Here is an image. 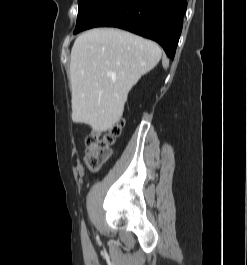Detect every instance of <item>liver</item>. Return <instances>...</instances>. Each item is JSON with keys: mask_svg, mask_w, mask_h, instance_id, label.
<instances>
[{"mask_svg": "<svg viewBox=\"0 0 247 265\" xmlns=\"http://www.w3.org/2000/svg\"><path fill=\"white\" fill-rule=\"evenodd\" d=\"M150 40L114 28L82 33L71 50L72 119L105 132L121 119L128 93L161 59Z\"/></svg>", "mask_w": 247, "mask_h": 265, "instance_id": "liver-1", "label": "liver"}]
</instances>
